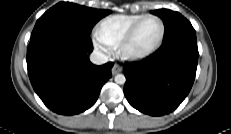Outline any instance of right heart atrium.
<instances>
[{"instance_id": "d8ad5b80", "label": "right heart atrium", "mask_w": 231, "mask_h": 134, "mask_svg": "<svg viewBox=\"0 0 231 134\" xmlns=\"http://www.w3.org/2000/svg\"><path fill=\"white\" fill-rule=\"evenodd\" d=\"M94 47L101 52L103 55L107 56L110 54V49L108 46L103 44L98 38L93 40Z\"/></svg>"}]
</instances>
